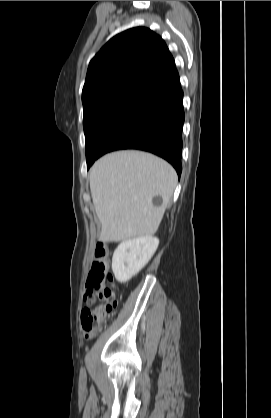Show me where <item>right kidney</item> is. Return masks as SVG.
Masks as SVG:
<instances>
[{"instance_id":"obj_1","label":"right kidney","mask_w":271,"mask_h":418,"mask_svg":"<svg viewBox=\"0 0 271 418\" xmlns=\"http://www.w3.org/2000/svg\"><path fill=\"white\" fill-rule=\"evenodd\" d=\"M159 239L152 236L138 237L123 241L114 251L112 270L120 283L129 281L152 258Z\"/></svg>"}]
</instances>
